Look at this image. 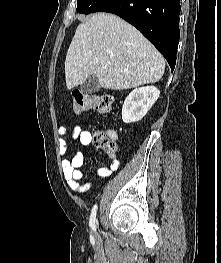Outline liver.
<instances>
[{
    "mask_svg": "<svg viewBox=\"0 0 221 263\" xmlns=\"http://www.w3.org/2000/svg\"><path fill=\"white\" fill-rule=\"evenodd\" d=\"M165 60L132 25L120 17L97 13L81 23L65 59L69 90L96 75L105 89L123 90L159 81Z\"/></svg>",
    "mask_w": 221,
    "mask_h": 263,
    "instance_id": "obj_1",
    "label": "liver"
}]
</instances>
